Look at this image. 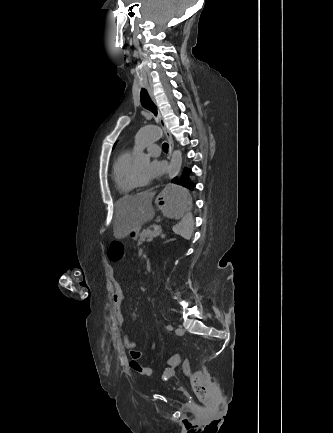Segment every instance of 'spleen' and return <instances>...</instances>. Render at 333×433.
<instances>
[{
    "instance_id": "obj_1",
    "label": "spleen",
    "mask_w": 333,
    "mask_h": 433,
    "mask_svg": "<svg viewBox=\"0 0 333 433\" xmlns=\"http://www.w3.org/2000/svg\"><path fill=\"white\" fill-rule=\"evenodd\" d=\"M194 228V220L192 217L191 210H188L187 215H185L184 220H180L177 224L172 227L175 234L180 235L186 240L192 237Z\"/></svg>"
}]
</instances>
